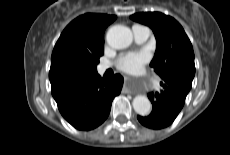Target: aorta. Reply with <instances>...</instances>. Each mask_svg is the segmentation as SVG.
<instances>
[{
  "label": "aorta",
  "mask_w": 230,
  "mask_h": 155,
  "mask_svg": "<svg viewBox=\"0 0 230 155\" xmlns=\"http://www.w3.org/2000/svg\"><path fill=\"white\" fill-rule=\"evenodd\" d=\"M107 43L114 49L127 48L133 40L131 30L123 25H114L107 31ZM135 112L142 116H147L151 112V103L144 95H137L132 102Z\"/></svg>",
  "instance_id": "1"
}]
</instances>
